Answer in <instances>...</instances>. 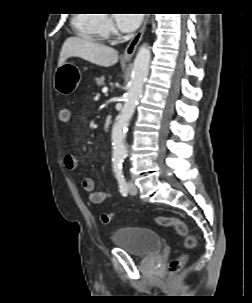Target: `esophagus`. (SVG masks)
Returning <instances> with one entry per match:
<instances>
[{
	"label": "esophagus",
	"mask_w": 252,
	"mask_h": 303,
	"mask_svg": "<svg viewBox=\"0 0 252 303\" xmlns=\"http://www.w3.org/2000/svg\"><path fill=\"white\" fill-rule=\"evenodd\" d=\"M148 22H149V16L145 15V18H144V21H143V24H142L140 30L135 34V36L128 43V45L123 53V56H122L123 60L129 61L132 59L138 44L142 40V37H143V34L145 32Z\"/></svg>",
	"instance_id": "esophagus-1"
}]
</instances>
